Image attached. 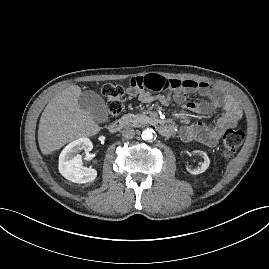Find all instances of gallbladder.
Masks as SVG:
<instances>
[{
  "instance_id": "obj_1",
  "label": "gallbladder",
  "mask_w": 269,
  "mask_h": 269,
  "mask_svg": "<svg viewBox=\"0 0 269 269\" xmlns=\"http://www.w3.org/2000/svg\"><path fill=\"white\" fill-rule=\"evenodd\" d=\"M78 105L82 110L88 111L96 122L108 121V109L105 102L95 91H83L79 96Z\"/></svg>"
}]
</instances>
